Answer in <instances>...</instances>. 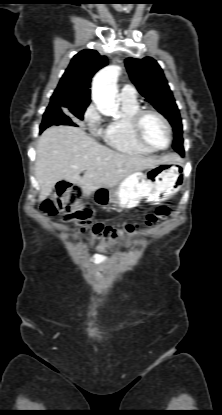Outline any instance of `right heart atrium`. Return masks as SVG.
Wrapping results in <instances>:
<instances>
[{
	"label": "right heart atrium",
	"instance_id": "right-heart-atrium-1",
	"mask_svg": "<svg viewBox=\"0 0 222 415\" xmlns=\"http://www.w3.org/2000/svg\"><path fill=\"white\" fill-rule=\"evenodd\" d=\"M82 121L91 131L97 132L102 122V117L95 104H90L83 112Z\"/></svg>",
	"mask_w": 222,
	"mask_h": 415
}]
</instances>
